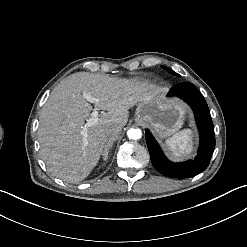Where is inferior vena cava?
I'll return each mask as SVG.
<instances>
[{"label":"inferior vena cava","mask_w":247,"mask_h":247,"mask_svg":"<svg viewBox=\"0 0 247 247\" xmlns=\"http://www.w3.org/2000/svg\"><path fill=\"white\" fill-rule=\"evenodd\" d=\"M121 132H122V127L119 125H111L106 127L105 133L108 137V142L115 141L116 139H118Z\"/></svg>","instance_id":"inferior-vena-cava-1"}]
</instances>
